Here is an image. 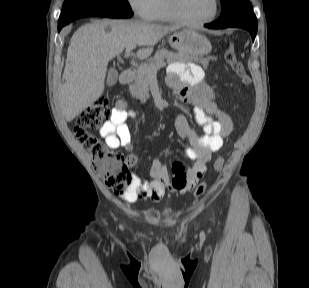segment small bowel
Wrapping results in <instances>:
<instances>
[{
	"label": "small bowel",
	"instance_id": "c3829d8e",
	"mask_svg": "<svg viewBox=\"0 0 309 288\" xmlns=\"http://www.w3.org/2000/svg\"><path fill=\"white\" fill-rule=\"evenodd\" d=\"M167 83L182 101L192 107L195 120L203 130L202 134H197L183 114H178L175 118L176 131L189 143L185 153L193 163L185 167L180 161L174 162L170 176L167 166L155 160L151 166L152 181L142 180L134 175L130 190L120 196L126 202H135L140 198L158 201L163 197L165 187L169 183L175 193L182 194L194 190L206 172L207 162L212 153L222 148L225 137L233 129L231 118L217 107L212 90L204 81V72L198 64H172ZM131 115L127 103L118 100L112 109L110 119L99 131L110 148H123L128 152V166H133L136 162V156L132 152L130 128L126 123Z\"/></svg>",
	"mask_w": 309,
	"mask_h": 288
}]
</instances>
